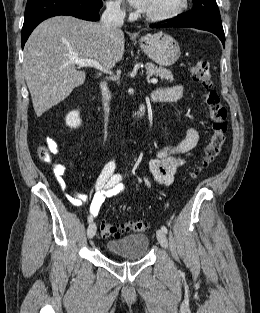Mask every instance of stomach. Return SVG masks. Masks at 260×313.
I'll use <instances>...</instances> for the list:
<instances>
[{"label":"stomach","instance_id":"obj_1","mask_svg":"<svg viewBox=\"0 0 260 313\" xmlns=\"http://www.w3.org/2000/svg\"><path fill=\"white\" fill-rule=\"evenodd\" d=\"M140 45L145 54L161 67L173 65L181 55L177 41L162 32L142 37Z\"/></svg>","mask_w":260,"mask_h":313}]
</instances>
